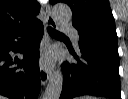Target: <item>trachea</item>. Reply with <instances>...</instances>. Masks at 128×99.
<instances>
[{"label":"trachea","mask_w":128,"mask_h":99,"mask_svg":"<svg viewBox=\"0 0 128 99\" xmlns=\"http://www.w3.org/2000/svg\"><path fill=\"white\" fill-rule=\"evenodd\" d=\"M47 30H48V33H49L50 35H52V36H54V35H64L63 33H61V32H59V31L55 30V29L52 28V27H48Z\"/></svg>","instance_id":"obj_1"}]
</instances>
